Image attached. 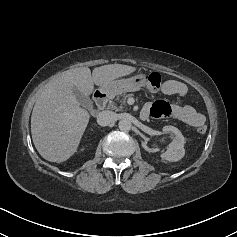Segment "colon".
Masks as SVG:
<instances>
[{"instance_id":"1","label":"colon","mask_w":237,"mask_h":237,"mask_svg":"<svg viewBox=\"0 0 237 237\" xmlns=\"http://www.w3.org/2000/svg\"><path fill=\"white\" fill-rule=\"evenodd\" d=\"M161 83V76L157 72H149L143 76V85L150 92H157L161 88ZM206 130L205 125L198 128V132L202 134L205 133Z\"/></svg>"}]
</instances>
